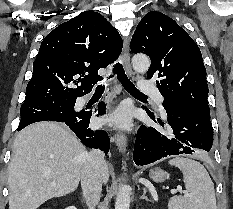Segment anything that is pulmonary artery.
I'll return each mask as SVG.
<instances>
[{
	"label": "pulmonary artery",
	"instance_id": "1",
	"mask_svg": "<svg viewBox=\"0 0 233 209\" xmlns=\"http://www.w3.org/2000/svg\"><path fill=\"white\" fill-rule=\"evenodd\" d=\"M139 91L144 94L151 95L154 98L157 105L163 110V96L160 94V92L152 82L142 81L139 85ZM163 114H165L164 111Z\"/></svg>",
	"mask_w": 233,
	"mask_h": 209
}]
</instances>
